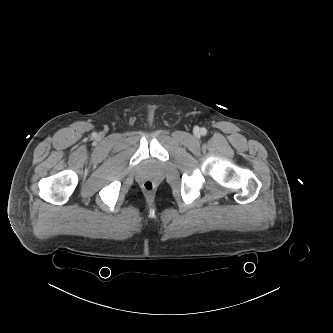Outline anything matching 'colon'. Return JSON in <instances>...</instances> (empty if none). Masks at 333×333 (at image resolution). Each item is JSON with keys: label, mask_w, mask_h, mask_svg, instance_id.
<instances>
[{"label": "colon", "mask_w": 333, "mask_h": 333, "mask_svg": "<svg viewBox=\"0 0 333 333\" xmlns=\"http://www.w3.org/2000/svg\"><path fill=\"white\" fill-rule=\"evenodd\" d=\"M142 186H143V189L146 192H151L154 189V183L152 181H150V180L144 181L143 184H142Z\"/></svg>", "instance_id": "1"}]
</instances>
